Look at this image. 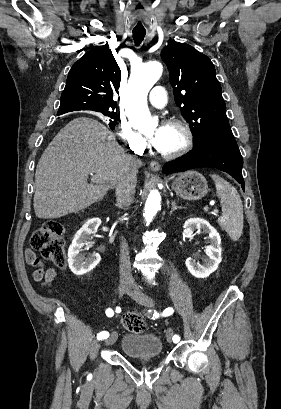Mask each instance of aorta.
Wrapping results in <instances>:
<instances>
[{"mask_svg": "<svg viewBox=\"0 0 281 409\" xmlns=\"http://www.w3.org/2000/svg\"><path fill=\"white\" fill-rule=\"evenodd\" d=\"M162 64L157 61L145 63L132 72L128 90V112L135 129L145 132L157 126V121L151 117L147 106L149 90L162 75ZM161 196L157 190H152L146 200L144 217L149 224L161 208Z\"/></svg>", "mask_w": 281, "mask_h": 409, "instance_id": "aorta-1", "label": "aorta"}]
</instances>
